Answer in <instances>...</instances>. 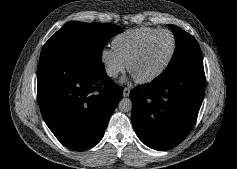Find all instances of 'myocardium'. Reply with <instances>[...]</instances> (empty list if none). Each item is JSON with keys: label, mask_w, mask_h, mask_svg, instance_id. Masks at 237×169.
I'll return each mask as SVG.
<instances>
[{"label": "myocardium", "mask_w": 237, "mask_h": 169, "mask_svg": "<svg viewBox=\"0 0 237 169\" xmlns=\"http://www.w3.org/2000/svg\"><path fill=\"white\" fill-rule=\"evenodd\" d=\"M162 33H167L171 36L172 39V48H171V52L168 56V58L166 59V61L163 63V65L156 70L155 72H153L152 74L143 77V78H136L132 73H131V65L133 64V62L138 59L143 51L145 50V48L148 46V44L158 35L162 34ZM175 51H176V39L174 34L167 30V29H162V30H158L157 32H155L154 34H152L151 36H149L139 47L138 49L132 54V56L129 58V60L127 61V70L133 75L134 79L136 82L140 83V84H144V83H149L153 80H155L156 78H158L161 74L164 73V71L167 69V67L169 66V64L171 63L174 55H175Z\"/></svg>", "instance_id": "myocardium-1"}]
</instances>
